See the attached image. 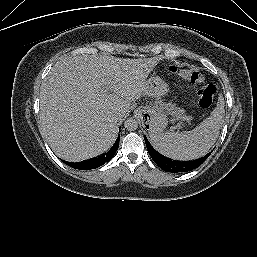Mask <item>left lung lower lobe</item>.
Wrapping results in <instances>:
<instances>
[{"label":"left lung lower lobe","mask_w":257,"mask_h":257,"mask_svg":"<svg viewBox=\"0 0 257 257\" xmlns=\"http://www.w3.org/2000/svg\"><path fill=\"white\" fill-rule=\"evenodd\" d=\"M145 143L147 150L151 156V158L154 160V162L165 172H171V173H178V172H187L191 171L197 167H199L211 154L208 153L204 157H201L199 159L193 160V161H174L171 160L160 153H158L149 143L148 139L145 137Z\"/></svg>","instance_id":"1"}]
</instances>
